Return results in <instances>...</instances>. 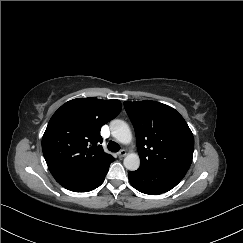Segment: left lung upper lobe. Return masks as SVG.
Segmentation results:
<instances>
[{
	"label": "left lung upper lobe",
	"mask_w": 243,
	"mask_h": 243,
	"mask_svg": "<svg viewBox=\"0 0 243 243\" xmlns=\"http://www.w3.org/2000/svg\"><path fill=\"white\" fill-rule=\"evenodd\" d=\"M134 125L141 165L138 171L168 166L190 167L194 138L183 117L172 107L150 100L124 102Z\"/></svg>",
	"instance_id": "left-lung-upper-lobe-1"
}]
</instances>
